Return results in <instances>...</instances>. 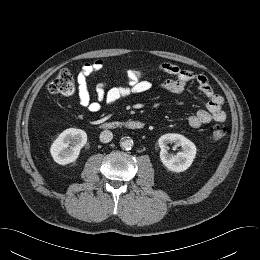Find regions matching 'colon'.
Listing matches in <instances>:
<instances>
[{
  "label": "colon",
  "mask_w": 260,
  "mask_h": 260,
  "mask_svg": "<svg viewBox=\"0 0 260 260\" xmlns=\"http://www.w3.org/2000/svg\"><path fill=\"white\" fill-rule=\"evenodd\" d=\"M48 91L52 94L71 95L75 91V77L69 70H61L49 83ZM226 127L222 124L211 126L210 135L213 140H221L226 135Z\"/></svg>",
  "instance_id": "1"
}]
</instances>
